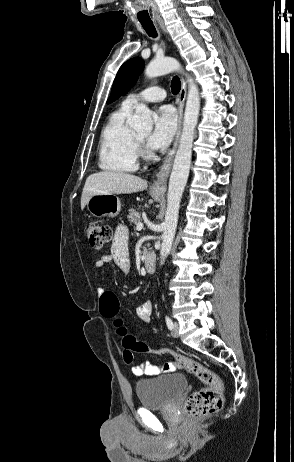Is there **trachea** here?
I'll return each instance as SVG.
<instances>
[{"label":"trachea","mask_w":294,"mask_h":462,"mask_svg":"<svg viewBox=\"0 0 294 462\" xmlns=\"http://www.w3.org/2000/svg\"><path fill=\"white\" fill-rule=\"evenodd\" d=\"M147 34L151 37H156L157 32L152 22H141ZM171 89L173 94H177L181 89V82L179 77H174L171 81Z\"/></svg>","instance_id":"1"}]
</instances>
